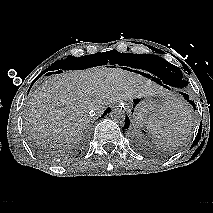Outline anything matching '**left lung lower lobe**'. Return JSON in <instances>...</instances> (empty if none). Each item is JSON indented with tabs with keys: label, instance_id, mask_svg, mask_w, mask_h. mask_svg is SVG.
I'll list each match as a JSON object with an SVG mask.
<instances>
[{
	"label": "left lung lower lobe",
	"instance_id": "0a47b994",
	"mask_svg": "<svg viewBox=\"0 0 213 213\" xmlns=\"http://www.w3.org/2000/svg\"><path fill=\"white\" fill-rule=\"evenodd\" d=\"M150 72L155 75V77H152V80L155 81L156 83H158L168 89H169V86H173V87L175 86V84L167 76L153 72V71H150ZM142 74L148 78L151 77L150 74H146V73H142ZM180 93L184 96V99H186L189 103H191V105H193L194 110H195V106L192 103V101L189 100V96L186 93H182V92H180ZM129 124H130V121H129L128 116L126 115L124 128L125 129L128 128Z\"/></svg>",
	"mask_w": 213,
	"mask_h": 213
}]
</instances>
